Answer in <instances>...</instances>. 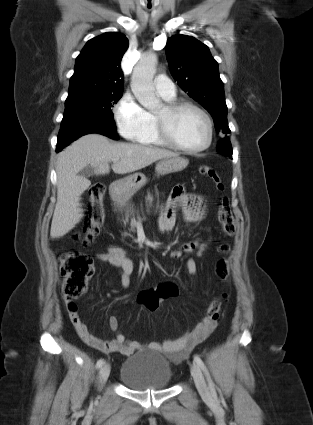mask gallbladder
Listing matches in <instances>:
<instances>
[{
    "label": "gallbladder",
    "instance_id": "obj_1",
    "mask_svg": "<svg viewBox=\"0 0 313 425\" xmlns=\"http://www.w3.org/2000/svg\"><path fill=\"white\" fill-rule=\"evenodd\" d=\"M94 173L93 168L91 166H87L84 169L80 171L81 176L83 177H90Z\"/></svg>",
    "mask_w": 313,
    "mask_h": 425
}]
</instances>
